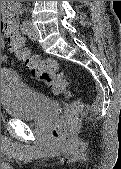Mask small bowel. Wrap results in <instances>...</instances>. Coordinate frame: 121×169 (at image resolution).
Returning a JSON list of instances; mask_svg holds the SVG:
<instances>
[{
	"instance_id": "c3829d8e",
	"label": "small bowel",
	"mask_w": 121,
	"mask_h": 169,
	"mask_svg": "<svg viewBox=\"0 0 121 169\" xmlns=\"http://www.w3.org/2000/svg\"><path fill=\"white\" fill-rule=\"evenodd\" d=\"M1 13V33L3 37L6 31H18V15L20 13V7L16 1H1ZM2 44H4V40H2ZM3 60L5 61L6 58H3Z\"/></svg>"
}]
</instances>
